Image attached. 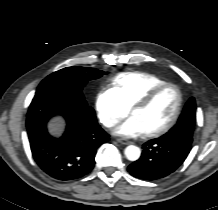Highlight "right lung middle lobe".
<instances>
[{"mask_svg":"<svg viewBox=\"0 0 218 210\" xmlns=\"http://www.w3.org/2000/svg\"><path fill=\"white\" fill-rule=\"evenodd\" d=\"M106 72L88 67H67L47 76L38 86L33 99L42 97L68 100L86 106L82 94L84 85Z\"/></svg>","mask_w":218,"mask_h":210,"instance_id":"dd1d6c3e","label":"right lung middle lobe"}]
</instances>
